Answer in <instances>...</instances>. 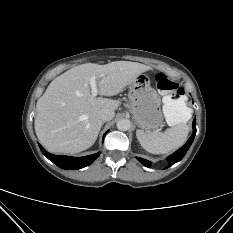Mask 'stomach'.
Listing matches in <instances>:
<instances>
[{
  "mask_svg": "<svg viewBox=\"0 0 233 233\" xmlns=\"http://www.w3.org/2000/svg\"><path fill=\"white\" fill-rule=\"evenodd\" d=\"M129 105L135 123L142 130L158 128L163 123L160 98L145 73L137 75L129 84Z\"/></svg>",
  "mask_w": 233,
  "mask_h": 233,
  "instance_id": "0dacf381",
  "label": "stomach"
}]
</instances>
